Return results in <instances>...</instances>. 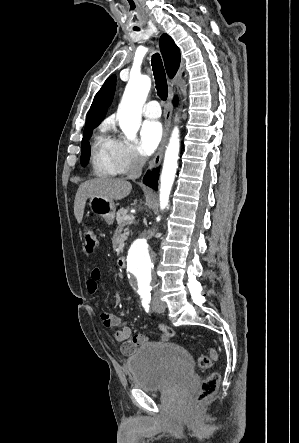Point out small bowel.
<instances>
[{"label":"small bowel","mask_w":299,"mask_h":443,"mask_svg":"<svg viewBox=\"0 0 299 443\" xmlns=\"http://www.w3.org/2000/svg\"><path fill=\"white\" fill-rule=\"evenodd\" d=\"M100 279L101 270L98 268L92 269L86 281V289L90 294L97 293ZM100 319L104 326L112 330V340L124 344L123 353L126 355L132 354L138 347L148 342L144 334L134 335L132 329L126 325L125 320L117 314L101 312ZM158 328L162 332L157 340L159 343H166L173 337L174 331L171 328L164 324H159Z\"/></svg>","instance_id":"1"}]
</instances>
